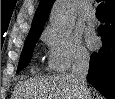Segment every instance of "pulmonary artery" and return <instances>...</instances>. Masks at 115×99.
Here are the masks:
<instances>
[{"mask_svg": "<svg viewBox=\"0 0 115 99\" xmlns=\"http://www.w3.org/2000/svg\"><path fill=\"white\" fill-rule=\"evenodd\" d=\"M87 22L91 25H94L97 23V18L94 14V12H90L88 15H87Z\"/></svg>", "mask_w": 115, "mask_h": 99, "instance_id": "pulmonary-artery-1", "label": "pulmonary artery"}]
</instances>
